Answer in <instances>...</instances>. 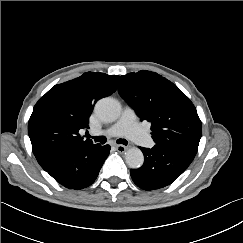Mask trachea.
<instances>
[{"mask_svg":"<svg viewBox=\"0 0 243 243\" xmlns=\"http://www.w3.org/2000/svg\"><path fill=\"white\" fill-rule=\"evenodd\" d=\"M87 137L89 138H93L95 140V142H100L102 144L106 143L107 139L105 136H94V137H91L89 134L87 135ZM118 144H123V145H127L128 144V141L125 140V139H118L116 141Z\"/></svg>","mask_w":243,"mask_h":243,"instance_id":"obj_1","label":"trachea"}]
</instances>
